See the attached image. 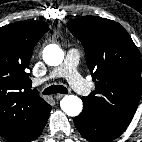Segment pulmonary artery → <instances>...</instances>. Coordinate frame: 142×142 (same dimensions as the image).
<instances>
[{
    "label": "pulmonary artery",
    "mask_w": 142,
    "mask_h": 142,
    "mask_svg": "<svg viewBox=\"0 0 142 142\" xmlns=\"http://www.w3.org/2000/svg\"><path fill=\"white\" fill-rule=\"evenodd\" d=\"M79 59L80 51L76 48L69 49L63 63L54 68L48 74V76L38 80V82L42 83L50 79L64 77L76 92L82 95H88L91 91V88L77 71Z\"/></svg>",
    "instance_id": "pulmonary-artery-1"
}]
</instances>
